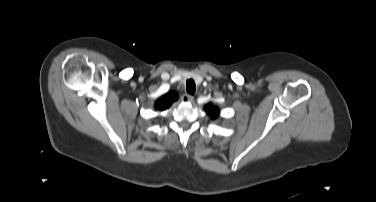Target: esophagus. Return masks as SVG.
<instances>
[{
	"label": "esophagus",
	"mask_w": 376,
	"mask_h": 202,
	"mask_svg": "<svg viewBox=\"0 0 376 202\" xmlns=\"http://www.w3.org/2000/svg\"><path fill=\"white\" fill-rule=\"evenodd\" d=\"M181 99H182L183 102L191 103V102H193L194 98H193V96H191L189 94H183Z\"/></svg>",
	"instance_id": "esophagus-1"
}]
</instances>
